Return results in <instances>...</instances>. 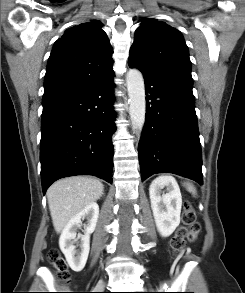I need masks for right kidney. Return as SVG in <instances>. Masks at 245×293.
<instances>
[{"instance_id": "1", "label": "right kidney", "mask_w": 245, "mask_h": 293, "mask_svg": "<svg viewBox=\"0 0 245 293\" xmlns=\"http://www.w3.org/2000/svg\"><path fill=\"white\" fill-rule=\"evenodd\" d=\"M99 216V206L91 203L73 216L64 227L59 246L70 268L75 272H80L88 259L90 250V235L94 232ZM82 219H87L84 235L81 236L80 250H76V230L81 226Z\"/></svg>"}]
</instances>
